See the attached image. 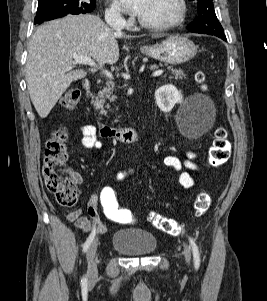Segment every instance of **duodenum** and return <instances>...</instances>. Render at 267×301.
I'll return each mask as SVG.
<instances>
[{"mask_svg": "<svg viewBox=\"0 0 267 301\" xmlns=\"http://www.w3.org/2000/svg\"><path fill=\"white\" fill-rule=\"evenodd\" d=\"M84 90L89 93L91 91V83L86 80L83 82ZM98 127L102 137L116 139L126 142H133L138 139V132L135 128H117L98 122Z\"/></svg>", "mask_w": 267, "mask_h": 301, "instance_id": "duodenum-1", "label": "duodenum"}]
</instances>
